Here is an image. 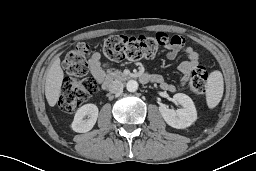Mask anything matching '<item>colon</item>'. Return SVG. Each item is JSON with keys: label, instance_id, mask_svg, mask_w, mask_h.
I'll use <instances>...</instances> for the list:
<instances>
[{"label": "colon", "instance_id": "obj_1", "mask_svg": "<svg viewBox=\"0 0 256 171\" xmlns=\"http://www.w3.org/2000/svg\"><path fill=\"white\" fill-rule=\"evenodd\" d=\"M168 43L169 38L163 33L153 36L114 35L104 41L103 53L114 61L151 59ZM88 52V45L79 42L63 61V69L67 77L62 83L58 101V107L62 112L75 111L95 92V82L85 77L88 72L86 61ZM206 81V68L203 65H197L191 73L188 85L193 92L202 94L206 89Z\"/></svg>", "mask_w": 256, "mask_h": 171}]
</instances>
